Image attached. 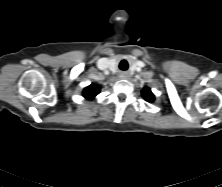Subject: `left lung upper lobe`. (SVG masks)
Wrapping results in <instances>:
<instances>
[{
  "label": "left lung upper lobe",
  "mask_w": 222,
  "mask_h": 187,
  "mask_svg": "<svg viewBox=\"0 0 222 187\" xmlns=\"http://www.w3.org/2000/svg\"><path fill=\"white\" fill-rule=\"evenodd\" d=\"M142 96L146 101H148L150 103H152L155 99L153 93L151 92V90L148 87L143 88Z\"/></svg>",
  "instance_id": "obj_1"
}]
</instances>
